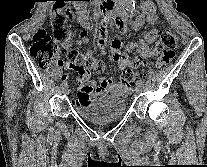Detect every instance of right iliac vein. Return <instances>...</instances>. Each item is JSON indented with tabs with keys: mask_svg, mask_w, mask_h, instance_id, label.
<instances>
[{
	"mask_svg": "<svg viewBox=\"0 0 207 167\" xmlns=\"http://www.w3.org/2000/svg\"><path fill=\"white\" fill-rule=\"evenodd\" d=\"M63 92H64L65 94H68L69 89H68L67 87H65V88H63Z\"/></svg>",
	"mask_w": 207,
	"mask_h": 167,
	"instance_id": "right-iliac-vein-1",
	"label": "right iliac vein"
}]
</instances>
